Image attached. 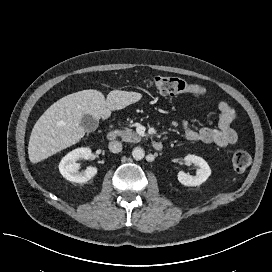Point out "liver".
<instances>
[{"mask_svg": "<svg viewBox=\"0 0 272 272\" xmlns=\"http://www.w3.org/2000/svg\"><path fill=\"white\" fill-rule=\"evenodd\" d=\"M141 98L138 92L113 90L105 100L100 91L89 89L59 99L32 129L28 144L30 161L38 163L79 142L85 135L81 126L83 115L89 114L96 120L107 119L111 111L121 110Z\"/></svg>", "mask_w": 272, "mask_h": 272, "instance_id": "6515ba94", "label": "liver"}]
</instances>
